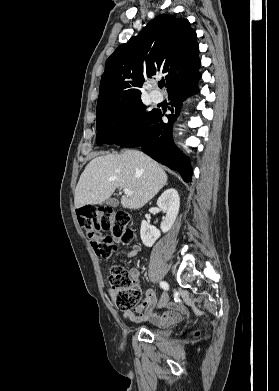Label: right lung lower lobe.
Wrapping results in <instances>:
<instances>
[{
	"label": "right lung lower lobe",
	"mask_w": 279,
	"mask_h": 391,
	"mask_svg": "<svg viewBox=\"0 0 279 391\" xmlns=\"http://www.w3.org/2000/svg\"><path fill=\"white\" fill-rule=\"evenodd\" d=\"M201 78L199 72L183 80L168 94L170 99L169 110L166 115L168 121H163L160 110L154 112L137 127L128 131L114 143L125 147L141 146L143 152L156 161L178 171L185 182H191L192 168L189 159L184 157L172 140V124L177 119L182 100L198 93L197 83Z\"/></svg>",
	"instance_id": "1"
}]
</instances>
